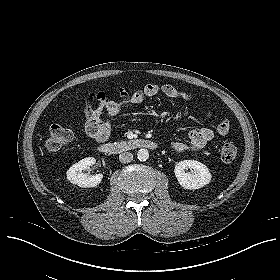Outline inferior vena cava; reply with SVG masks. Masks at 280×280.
Listing matches in <instances>:
<instances>
[{"mask_svg": "<svg viewBox=\"0 0 280 280\" xmlns=\"http://www.w3.org/2000/svg\"><path fill=\"white\" fill-rule=\"evenodd\" d=\"M133 160V154L130 152H123L119 155V161L121 163H129Z\"/></svg>", "mask_w": 280, "mask_h": 280, "instance_id": "obj_1", "label": "inferior vena cava"}]
</instances>
